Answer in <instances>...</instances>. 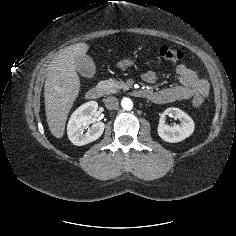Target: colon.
<instances>
[{
  "label": "colon",
  "instance_id": "1",
  "mask_svg": "<svg viewBox=\"0 0 236 236\" xmlns=\"http://www.w3.org/2000/svg\"><path fill=\"white\" fill-rule=\"evenodd\" d=\"M158 53L161 59L172 64H176L183 59L181 51L167 45H162ZM192 102L195 107H200L203 104V98L199 95H195Z\"/></svg>",
  "mask_w": 236,
  "mask_h": 236
}]
</instances>
